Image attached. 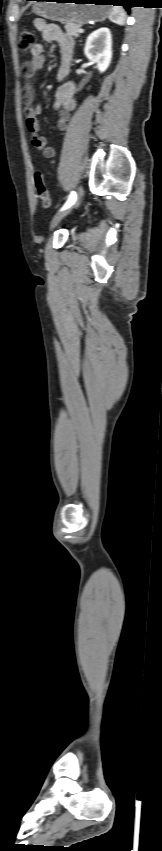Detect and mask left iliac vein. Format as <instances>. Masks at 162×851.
Returning <instances> with one entry per match:
<instances>
[{"instance_id": "4c4485c4", "label": "left iliac vein", "mask_w": 162, "mask_h": 851, "mask_svg": "<svg viewBox=\"0 0 162 851\" xmlns=\"http://www.w3.org/2000/svg\"><path fill=\"white\" fill-rule=\"evenodd\" d=\"M83 193H84L83 187H82V186H79V188H78V194H77V199H76L75 203L73 204V206H72L70 209H68L67 211H65L64 213H62L61 215H59V216H57L56 218H54V219H53V221L51 222V225H50V229H51V230H52L54 227H56V226L59 224V222H60L63 218H65V217H66V216H67V215H68V214L72 211V209H74V208H76V207H78V206H79L80 201H81V198H82V196H83Z\"/></svg>"}]
</instances>
